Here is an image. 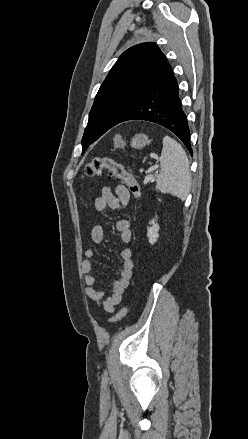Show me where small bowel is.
Wrapping results in <instances>:
<instances>
[{
  "label": "small bowel",
  "instance_id": "c3829d8e",
  "mask_svg": "<svg viewBox=\"0 0 248 439\" xmlns=\"http://www.w3.org/2000/svg\"><path fill=\"white\" fill-rule=\"evenodd\" d=\"M130 194L124 185H118L114 191L110 187H103L100 196L94 201V207L101 212L107 208L120 209L128 204ZM116 230L119 233L120 240L127 244L132 239V232L130 222L127 219H119L116 222ZM93 243L100 244L104 240V229L101 225H95L90 233ZM95 256V251L88 248L84 252V260L82 261L81 269L84 273V283L86 285L85 293L88 299L96 303L107 313H113L117 305L120 304L123 294L129 286L134 262L132 259V251L125 247L120 251V258L122 260V270L119 278H117L112 285V292L106 296L103 290L94 288L96 284V277L92 274L93 263L92 259Z\"/></svg>",
  "mask_w": 248,
  "mask_h": 439
}]
</instances>
